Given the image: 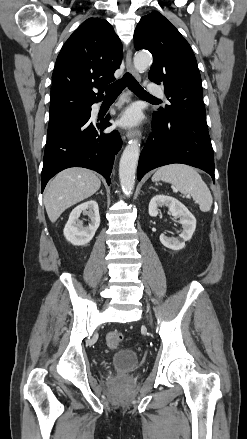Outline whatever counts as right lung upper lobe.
Returning a JSON list of instances; mask_svg holds the SVG:
<instances>
[{
    "label": "right lung upper lobe",
    "instance_id": "obj_1",
    "mask_svg": "<svg viewBox=\"0 0 247 439\" xmlns=\"http://www.w3.org/2000/svg\"><path fill=\"white\" fill-rule=\"evenodd\" d=\"M122 44L112 26L89 18L63 45L52 75L50 112L102 100L103 88L115 80ZM100 86L98 93L93 87Z\"/></svg>",
    "mask_w": 247,
    "mask_h": 439
}]
</instances>
